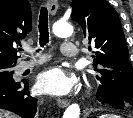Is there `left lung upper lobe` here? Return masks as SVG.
Masks as SVG:
<instances>
[{
	"label": "left lung upper lobe",
	"instance_id": "5c2ea615",
	"mask_svg": "<svg viewBox=\"0 0 133 118\" xmlns=\"http://www.w3.org/2000/svg\"><path fill=\"white\" fill-rule=\"evenodd\" d=\"M71 17L83 28L94 51V70L100 86L96 97L105 103L118 98L133 106V68L116 11L105 0H73Z\"/></svg>",
	"mask_w": 133,
	"mask_h": 118
}]
</instances>
